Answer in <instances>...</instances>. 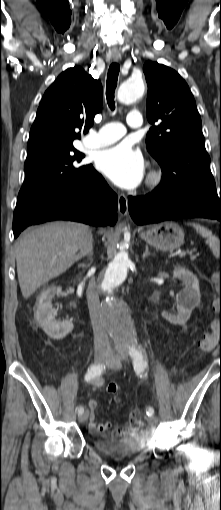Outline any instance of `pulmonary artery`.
Masks as SVG:
<instances>
[{
    "label": "pulmonary artery",
    "instance_id": "pulmonary-artery-1",
    "mask_svg": "<svg viewBox=\"0 0 221 510\" xmlns=\"http://www.w3.org/2000/svg\"><path fill=\"white\" fill-rule=\"evenodd\" d=\"M127 123L131 128L141 127L143 123L141 114L137 111L130 112ZM125 133L126 129L120 123H106L97 131L91 132L86 143L92 148L105 147L120 140Z\"/></svg>",
    "mask_w": 221,
    "mask_h": 510
}]
</instances>
